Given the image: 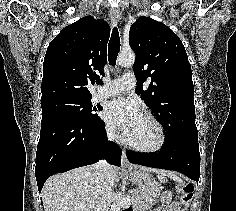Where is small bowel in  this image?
I'll return each mask as SVG.
<instances>
[{
    "mask_svg": "<svg viewBox=\"0 0 236 211\" xmlns=\"http://www.w3.org/2000/svg\"><path fill=\"white\" fill-rule=\"evenodd\" d=\"M128 211H134L133 209ZM150 211H186L185 208L178 209L176 204L170 200L162 199L160 205Z\"/></svg>",
    "mask_w": 236,
    "mask_h": 211,
    "instance_id": "1",
    "label": "small bowel"
}]
</instances>
